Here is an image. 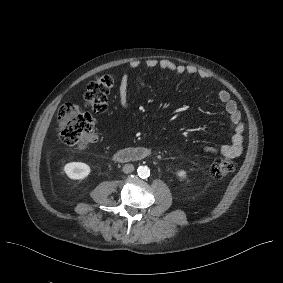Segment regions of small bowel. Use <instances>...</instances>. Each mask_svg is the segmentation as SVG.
<instances>
[{
    "label": "small bowel",
    "mask_w": 283,
    "mask_h": 283,
    "mask_svg": "<svg viewBox=\"0 0 283 283\" xmlns=\"http://www.w3.org/2000/svg\"><path fill=\"white\" fill-rule=\"evenodd\" d=\"M142 66L151 69L161 68L170 72H174L176 74H189L192 76H199L200 78L205 80L211 78L208 73L199 71L194 66L175 64L174 62L167 59L158 60L149 58L143 61H132L128 64L126 70L123 72L118 87L119 103L124 109L128 107V84L130 74L132 71ZM218 99L223 104L226 112L229 115L230 126L233 130V135L229 144L221 145L219 148L205 147L204 151L207 153H218L226 158L234 159L239 157L243 153L244 124L242 122L241 112L237 106V103L231 98V95L228 91L220 90L218 92Z\"/></svg>",
    "instance_id": "obj_1"
}]
</instances>
